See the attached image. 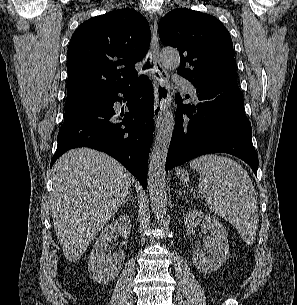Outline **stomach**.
<instances>
[{
  "label": "stomach",
  "mask_w": 297,
  "mask_h": 305,
  "mask_svg": "<svg viewBox=\"0 0 297 305\" xmlns=\"http://www.w3.org/2000/svg\"><path fill=\"white\" fill-rule=\"evenodd\" d=\"M176 175L178 177V179L184 183L189 181V174L186 170L184 169H178L176 171Z\"/></svg>",
  "instance_id": "obj_1"
}]
</instances>
